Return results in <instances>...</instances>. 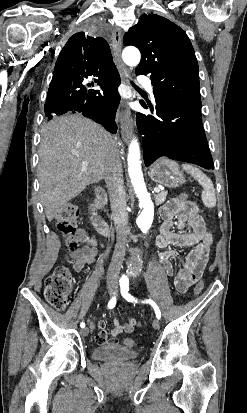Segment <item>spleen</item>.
Listing matches in <instances>:
<instances>
[{"label": "spleen", "mask_w": 247, "mask_h": 413, "mask_svg": "<svg viewBox=\"0 0 247 413\" xmlns=\"http://www.w3.org/2000/svg\"><path fill=\"white\" fill-rule=\"evenodd\" d=\"M182 168H184L186 172H190L191 176H194V178L198 180L199 184L203 186L201 198L203 200V204H205V207H209V209L216 207L215 188L211 178H209L207 174H204L200 168H195V166H192V164H182Z\"/></svg>", "instance_id": "obj_1"}]
</instances>
